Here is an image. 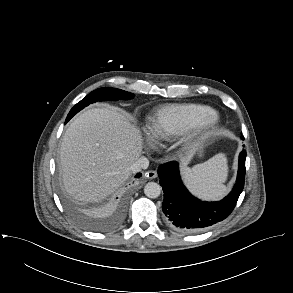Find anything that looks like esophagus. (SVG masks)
Wrapping results in <instances>:
<instances>
[{"label": "esophagus", "mask_w": 293, "mask_h": 293, "mask_svg": "<svg viewBox=\"0 0 293 293\" xmlns=\"http://www.w3.org/2000/svg\"><path fill=\"white\" fill-rule=\"evenodd\" d=\"M145 177L149 178V179H154L157 177V172L154 171V170H150V171H147L145 173Z\"/></svg>", "instance_id": "1"}]
</instances>
